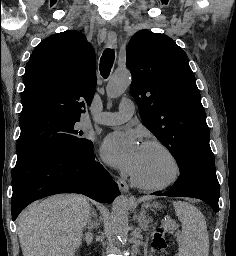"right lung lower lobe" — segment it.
<instances>
[{
    "label": "right lung lower lobe",
    "instance_id": "98d812e1",
    "mask_svg": "<svg viewBox=\"0 0 236 256\" xmlns=\"http://www.w3.org/2000/svg\"><path fill=\"white\" fill-rule=\"evenodd\" d=\"M12 220L31 202L59 193H81L111 203L117 184L95 161L93 144L81 151L45 150L16 162L12 176Z\"/></svg>",
    "mask_w": 236,
    "mask_h": 256
}]
</instances>
